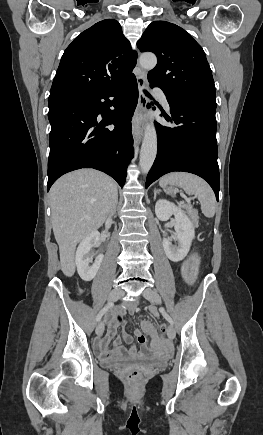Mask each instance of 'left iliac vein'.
<instances>
[{
  "instance_id": "4c4485c4",
  "label": "left iliac vein",
  "mask_w": 263,
  "mask_h": 435,
  "mask_svg": "<svg viewBox=\"0 0 263 435\" xmlns=\"http://www.w3.org/2000/svg\"><path fill=\"white\" fill-rule=\"evenodd\" d=\"M143 296L145 299H147L148 301H150L151 303H155V304H160L161 303V297L159 296V294L151 289V288H147L143 291ZM167 335L169 339H174L176 332L175 329L172 325H169L167 328Z\"/></svg>"
}]
</instances>
